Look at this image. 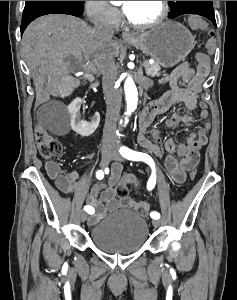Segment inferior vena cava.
I'll use <instances>...</instances> for the list:
<instances>
[{"label": "inferior vena cava", "instance_id": "inferior-vena-cava-1", "mask_svg": "<svg viewBox=\"0 0 237 300\" xmlns=\"http://www.w3.org/2000/svg\"><path fill=\"white\" fill-rule=\"evenodd\" d=\"M94 27L95 33L97 37H99L103 49H105V51L101 53L102 57H104L101 67L103 75L102 87L107 105L103 135L108 137V139L112 137V139L116 141L115 127L121 109L122 97L118 89H116L117 71L113 53H111V49H108L109 43L112 41V37H114V25H110L109 21H107L106 13H103V15L96 13V15H94Z\"/></svg>", "mask_w": 237, "mask_h": 300}]
</instances>
